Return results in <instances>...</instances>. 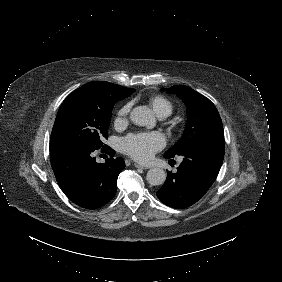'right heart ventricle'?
<instances>
[{
	"label": "right heart ventricle",
	"mask_w": 282,
	"mask_h": 282,
	"mask_svg": "<svg viewBox=\"0 0 282 282\" xmlns=\"http://www.w3.org/2000/svg\"><path fill=\"white\" fill-rule=\"evenodd\" d=\"M150 105L152 106L154 112L164 118L172 112L171 103L161 96H155L150 100Z\"/></svg>",
	"instance_id": "e07e8e85"
}]
</instances>
